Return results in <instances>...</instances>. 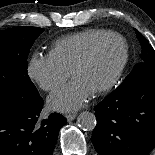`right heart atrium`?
<instances>
[{"label": "right heart atrium", "mask_w": 155, "mask_h": 155, "mask_svg": "<svg viewBox=\"0 0 155 155\" xmlns=\"http://www.w3.org/2000/svg\"><path fill=\"white\" fill-rule=\"evenodd\" d=\"M28 74L46 92L57 91L70 76V72L59 65L50 54L33 55L29 62Z\"/></svg>", "instance_id": "obj_1"}]
</instances>
